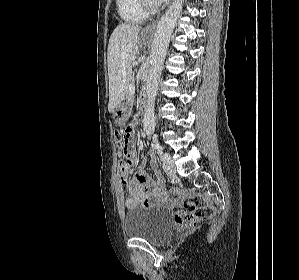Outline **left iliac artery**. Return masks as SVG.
Returning <instances> with one entry per match:
<instances>
[{
    "mask_svg": "<svg viewBox=\"0 0 299 280\" xmlns=\"http://www.w3.org/2000/svg\"><path fill=\"white\" fill-rule=\"evenodd\" d=\"M156 148L158 149V154L162 161H165L169 158V154L163 153L162 151H160L158 145L156 146Z\"/></svg>",
    "mask_w": 299,
    "mask_h": 280,
    "instance_id": "44dca946",
    "label": "left iliac artery"
}]
</instances>
